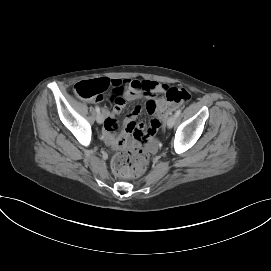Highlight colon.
Here are the masks:
<instances>
[{"label": "colon", "mask_w": 271, "mask_h": 271, "mask_svg": "<svg viewBox=\"0 0 271 271\" xmlns=\"http://www.w3.org/2000/svg\"><path fill=\"white\" fill-rule=\"evenodd\" d=\"M110 84V81L105 78L81 81L75 85V93L84 99L99 100ZM161 96L172 105H182L190 99V94L186 89L176 87H166ZM160 125L158 120L151 121L148 136L144 138L142 147L130 148L128 151L114 157L112 166L118 175L133 178L141 175L146 170L149 160L146 149V145L149 143L148 137L153 135Z\"/></svg>", "instance_id": "obj_1"}]
</instances>
